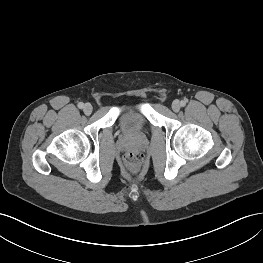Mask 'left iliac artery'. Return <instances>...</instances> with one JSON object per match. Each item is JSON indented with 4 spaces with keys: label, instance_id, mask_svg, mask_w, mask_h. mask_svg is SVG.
<instances>
[{
    "label": "left iliac artery",
    "instance_id": "obj_1",
    "mask_svg": "<svg viewBox=\"0 0 263 263\" xmlns=\"http://www.w3.org/2000/svg\"><path fill=\"white\" fill-rule=\"evenodd\" d=\"M187 102H188L187 99L182 100V101H181V106H185Z\"/></svg>",
    "mask_w": 263,
    "mask_h": 263
}]
</instances>
